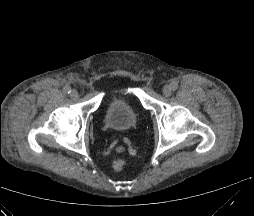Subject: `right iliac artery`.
Returning a JSON list of instances; mask_svg holds the SVG:
<instances>
[{"mask_svg":"<svg viewBox=\"0 0 254 216\" xmlns=\"http://www.w3.org/2000/svg\"><path fill=\"white\" fill-rule=\"evenodd\" d=\"M64 92L67 94L71 93V88L69 86L64 87Z\"/></svg>","mask_w":254,"mask_h":216,"instance_id":"right-iliac-artery-1","label":"right iliac artery"}]
</instances>
